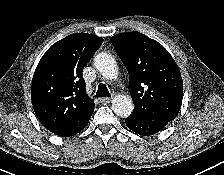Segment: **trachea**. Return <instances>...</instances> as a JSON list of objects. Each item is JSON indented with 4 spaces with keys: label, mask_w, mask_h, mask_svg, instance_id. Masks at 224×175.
<instances>
[{
    "label": "trachea",
    "mask_w": 224,
    "mask_h": 175,
    "mask_svg": "<svg viewBox=\"0 0 224 175\" xmlns=\"http://www.w3.org/2000/svg\"><path fill=\"white\" fill-rule=\"evenodd\" d=\"M95 97H110V93L104 84H99Z\"/></svg>",
    "instance_id": "1"
}]
</instances>
